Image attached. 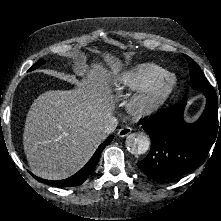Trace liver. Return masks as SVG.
Instances as JSON below:
<instances>
[{
	"instance_id": "1",
	"label": "liver",
	"mask_w": 221,
	"mask_h": 221,
	"mask_svg": "<svg viewBox=\"0 0 221 221\" xmlns=\"http://www.w3.org/2000/svg\"><path fill=\"white\" fill-rule=\"evenodd\" d=\"M107 75L103 65L94 64L87 69V82L82 87L47 91L33 102L26 117L23 146L36 176L65 179L91 158L113 112L104 87Z\"/></svg>"
}]
</instances>
